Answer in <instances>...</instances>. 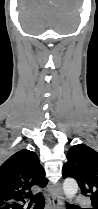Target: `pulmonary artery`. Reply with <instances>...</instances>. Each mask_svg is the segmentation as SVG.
<instances>
[{
	"mask_svg": "<svg viewBox=\"0 0 98 209\" xmlns=\"http://www.w3.org/2000/svg\"><path fill=\"white\" fill-rule=\"evenodd\" d=\"M76 201H77L80 205H88V204H90V201H89L87 198H83V197L77 198Z\"/></svg>",
	"mask_w": 98,
	"mask_h": 209,
	"instance_id": "pulmonary-artery-1",
	"label": "pulmonary artery"
}]
</instances>
